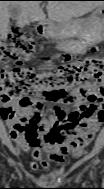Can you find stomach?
Segmentation results:
<instances>
[{
    "mask_svg": "<svg viewBox=\"0 0 104 189\" xmlns=\"http://www.w3.org/2000/svg\"><path fill=\"white\" fill-rule=\"evenodd\" d=\"M103 6L98 7L87 19L74 20L66 25H52L43 30V35L58 41L60 47L68 52H79L88 37L103 29Z\"/></svg>",
    "mask_w": 104,
    "mask_h": 189,
    "instance_id": "stomach-1",
    "label": "stomach"
}]
</instances>
